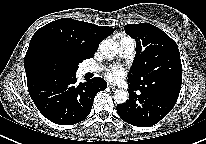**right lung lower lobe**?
I'll list each match as a JSON object with an SVG mask.
<instances>
[{
  "label": "right lung lower lobe",
  "instance_id": "obj_1",
  "mask_svg": "<svg viewBox=\"0 0 206 144\" xmlns=\"http://www.w3.org/2000/svg\"><path fill=\"white\" fill-rule=\"evenodd\" d=\"M30 97L43 116L59 125L76 124L90 113L98 91L105 90L107 82L95 77L77 83L76 74H38L27 78Z\"/></svg>",
  "mask_w": 206,
  "mask_h": 144
}]
</instances>
